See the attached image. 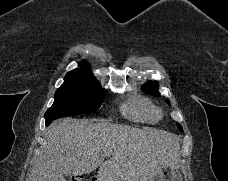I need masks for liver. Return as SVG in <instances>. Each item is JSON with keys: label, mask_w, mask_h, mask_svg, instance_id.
<instances>
[{"label": "liver", "mask_w": 228, "mask_h": 181, "mask_svg": "<svg viewBox=\"0 0 228 181\" xmlns=\"http://www.w3.org/2000/svg\"><path fill=\"white\" fill-rule=\"evenodd\" d=\"M45 139L30 181H64L67 173L87 175L98 167L100 181H153L163 169H178L179 141L158 129L64 119L47 127Z\"/></svg>", "instance_id": "obj_1"}]
</instances>
